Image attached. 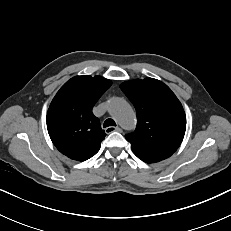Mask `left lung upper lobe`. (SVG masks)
<instances>
[{"instance_id":"left-lung-upper-lobe-1","label":"left lung upper lobe","mask_w":231,"mask_h":231,"mask_svg":"<svg viewBox=\"0 0 231 231\" xmlns=\"http://www.w3.org/2000/svg\"><path fill=\"white\" fill-rule=\"evenodd\" d=\"M122 91L135 106L137 127L125 138L140 159L164 160L180 146L186 117L183 107L163 82L146 78L121 84Z\"/></svg>"}]
</instances>
